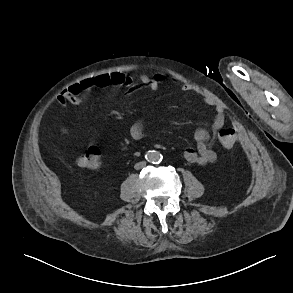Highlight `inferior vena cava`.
I'll return each instance as SVG.
<instances>
[{"label": "inferior vena cava", "mask_w": 293, "mask_h": 293, "mask_svg": "<svg viewBox=\"0 0 293 293\" xmlns=\"http://www.w3.org/2000/svg\"><path fill=\"white\" fill-rule=\"evenodd\" d=\"M144 166H146V162L145 161H142V162L136 163L135 166H134V168L136 170H139V169L143 168Z\"/></svg>", "instance_id": "1"}]
</instances>
